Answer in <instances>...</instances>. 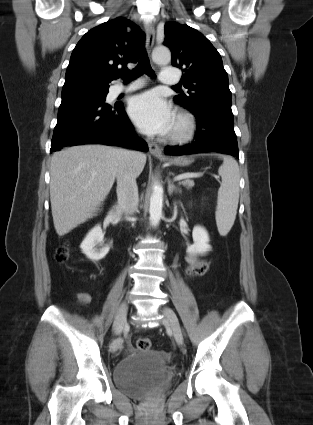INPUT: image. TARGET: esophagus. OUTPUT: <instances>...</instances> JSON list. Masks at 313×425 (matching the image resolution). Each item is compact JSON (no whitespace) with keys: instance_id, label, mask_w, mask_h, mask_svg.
Returning <instances> with one entry per match:
<instances>
[{"instance_id":"esophagus-1","label":"esophagus","mask_w":313,"mask_h":425,"mask_svg":"<svg viewBox=\"0 0 313 425\" xmlns=\"http://www.w3.org/2000/svg\"><path fill=\"white\" fill-rule=\"evenodd\" d=\"M145 32H146V46H147L148 52H150L154 45V40H155V30L151 23H145ZM147 142H148L149 152L153 156H156V157L163 156L161 147H159L155 142H152V141H147Z\"/></svg>"}]
</instances>
